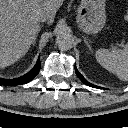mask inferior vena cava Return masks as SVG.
Here are the masks:
<instances>
[{
    "label": "inferior vena cava",
    "instance_id": "1",
    "mask_svg": "<svg viewBox=\"0 0 128 128\" xmlns=\"http://www.w3.org/2000/svg\"><path fill=\"white\" fill-rule=\"evenodd\" d=\"M39 22H46L49 20V16L45 13H40L37 17Z\"/></svg>",
    "mask_w": 128,
    "mask_h": 128
}]
</instances>
